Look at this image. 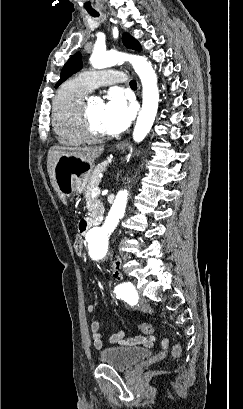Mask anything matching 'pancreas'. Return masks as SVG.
Returning a JSON list of instances; mask_svg holds the SVG:
<instances>
[{"instance_id": "pancreas-1", "label": "pancreas", "mask_w": 243, "mask_h": 409, "mask_svg": "<svg viewBox=\"0 0 243 409\" xmlns=\"http://www.w3.org/2000/svg\"><path fill=\"white\" fill-rule=\"evenodd\" d=\"M106 168H107V163H102V164L97 165V167L91 173L88 184L86 186V191H85L86 204L90 208L91 217L93 218H98L104 212V208L102 206L101 201L97 197L94 199L92 198V191L95 187H98L100 183L99 174L105 171Z\"/></svg>"}]
</instances>
